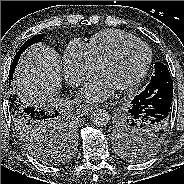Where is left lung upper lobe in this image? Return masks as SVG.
<instances>
[{
	"label": "left lung upper lobe",
	"instance_id": "1",
	"mask_svg": "<svg viewBox=\"0 0 184 184\" xmlns=\"http://www.w3.org/2000/svg\"><path fill=\"white\" fill-rule=\"evenodd\" d=\"M162 76H170L169 70L163 63L156 62L151 80ZM166 125L168 130L169 123ZM167 130L155 134L154 128L133 118L129 110L119 116L113 128L119 152L129 160H144L154 154L164 141Z\"/></svg>",
	"mask_w": 184,
	"mask_h": 184
}]
</instances>
